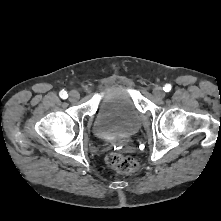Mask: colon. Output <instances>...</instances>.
<instances>
[{
	"mask_svg": "<svg viewBox=\"0 0 221 221\" xmlns=\"http://www.w3.org/2000/svg\"><path fill=\"white\" fill-rule=\"evenodd\" d=\"M105 162L112 169L124 174L133 173L138 168V163L134 158L124 156L116 151L108 152Z\"/></svg>",
	"mask_w": 221,
	"mask_h": 221,
	"instance_id": "obj_1",
	"label": "colon"
}]
</instances>
